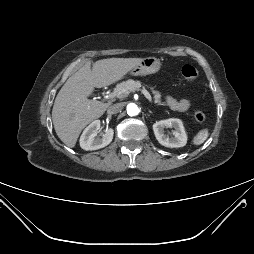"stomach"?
<instances>
[{
    "label": "stomach",
    "mask_w": 254,
    "mask_h": 254,
    "mask_svg": "<svg viewBox=\"0 0 254 254\" xmlns=\"http://www.w3.org/2000/svg\"><path fill=\"white\" fill-rule=\"evenodd\" d=\"M161 63L155 57H147L141 60L131 71L132 76H145L154 74L160 70Z\"/></svg>",
    "instance_id": "1"
}]
</instances>
